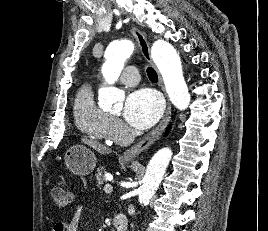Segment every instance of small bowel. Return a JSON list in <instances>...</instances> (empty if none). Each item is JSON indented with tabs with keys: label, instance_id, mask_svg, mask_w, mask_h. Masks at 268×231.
<instances>
[{
	"label": "small bowel",
	"instance_id": "obj_1",
	"mask_svg": "<svg viewBox=\"0 0 268 231\" xmlns=\"http://www.w3.org/2000/svg\"><path fill=\"white\" fill-rule=\"evenodd\" d=\"M82 213H83V207L77 206L75 213L73 214L71 219L67 222H64V221L56 222L53 230L54 231H79Z\"/></svg>",
	"mask_w": 268,
	"mask_h": 231
}]
</instances>
